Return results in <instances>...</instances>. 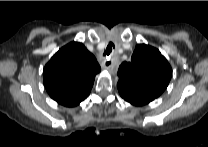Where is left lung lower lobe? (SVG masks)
I'll return each instance as SVG.
<instances>
[{
  "label": "left lung lower lobe",
  "instance_id": "1",
  "mask_svg": "<svg viewBox=\"0 0 208 147\" xmlns=\"http://www.w3.org/2000/svg\"><path fill=\"white\" fill-rule=\"evenodd\" d=\"M118 91L124 100L136 106H142L154 100V98L150 96L131 91L123 87H118Z\"/></svg>",
  "mask_w": 208,
  "mask_h": 147
}]
</instances>
